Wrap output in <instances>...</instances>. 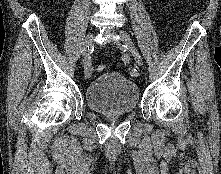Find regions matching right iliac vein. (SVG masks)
Masks as SVG:
<instances>
[{
    "label": "right iliac vein",
    "mask_w": 221,
    "mask_h": 174,
    "mask_svg": "<svg viewBox=\"0 0 221 174\" xmlns=\"http://www.w3.org/2000/svg\"><path fill=\"white\" fill-rule=\"evenodd\" d=\"M92 41H93V33H88L86 38H85V42H84V46H83V51H82V55H83V61L87 58V56L89 55L88 54V51H89V48L91 47L92 45Z\"/></svg>",
    "instance_id": "1"
}]
</instances>
